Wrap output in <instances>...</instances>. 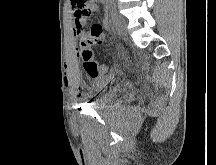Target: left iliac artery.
<instances>
[{"mask_svg": "<svg viewBox=\"0 0 216 165\" xmlns=\"http://www.w3.org/2000/svg\"><path fill=\"white\" fill-rule=\"evenodd\" d=\"M116 16H117L116 8L115 6H112L110 10V17L113 22L115 21Z\"/></svg>", "mask_w": 216, "mask_h": 165, "instance_id": "obj_1", "label": "left iliac artery"}]
</instances>
